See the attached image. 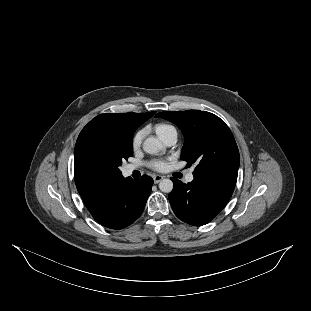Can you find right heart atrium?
Segmentation results:
<instances>
[{
  "label": "right heart atrium",
  "mask_w": 311,
  "mask_h": 311,
  "mask_svg": "<svg viewBox=\"0 0 311 311\" xmlns=\"http://www.w3.org/2000/svg\"><path fill=\"white\" fill-rule=\"evenodd\" d=\"M144 133H145V131L143 129L138 130L137 132L134 133V135L132 136V139H131L132 150H136L139 147Z\"/></svg>",
  "instance_id": "1"
}]
</instances>
